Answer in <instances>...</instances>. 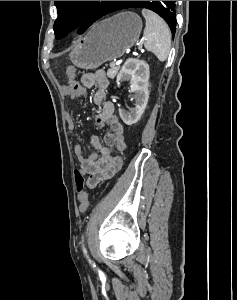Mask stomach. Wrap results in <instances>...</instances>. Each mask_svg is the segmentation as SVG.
Returning <instances> with one entry per match:
<instances>
[{"label":"stomach","instance_id":"obj_1","mask_svg":"<svg viewBox=\"0 0 237 300\" xmlns=\"http://www.w3.org/2000/svg\"><path fill=\"white\" fill-rule=\"evenodd\" d=\"M142 31V21L136 13H118L93 25L89 33L77 41L69 57L79 69H97L106 61L122 57Z\"/></svg>","mask_w":237,"mask_h":300}]
</instances>
